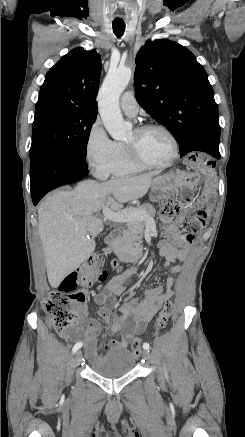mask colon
Returning a JSON list of instances; mask_svg holds the SVG:
<instances>
[{
  "label": "colon",
  "instance_id": "colon-1",
  "mask_svg": "<svg viewBox=\"0 0 245 437\" xmlns=\"http://www.w3.org/2000/svg\"><path fill=\"white\" fill-rule=\"evenodd\" d=\"M178 204L172 199H165L160 210L159 218L163 223L176 218ZM118 267L116 261L112 262ZM105 260L98 254L88 257L75 271L69 273L60 283L58 290L51 293L45 300L44 306L56 330L63 335L79 337L83 333L82 327L77 326L79 309L86 302L87 294L82 288L95 286L106 279ZM173 311L172 301H168L160 311L153 324V331L163 329ZM141 338L131 344V352L135 356L141 354Z\"/></svg>",
  "mask_w": 245,
  "mask_h": 437
}]
</instances>
